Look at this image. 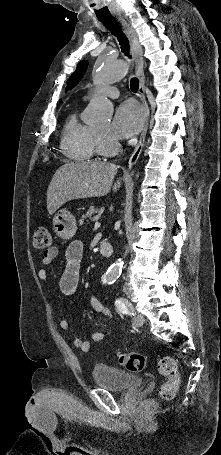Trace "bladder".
<instances>
[{"label":"bladder","mask_w":221,"mask_h":455,"mask_svg":"<svg viewBox=\"0 0 221 455\" xmlns=\"http://www.w3.org/2000/svg\"><path fill=\"white\" fill-rule=\"evenodd\" d=\"M92 376L95 385L114 391L136 390L143 383L140 376L101 364L93 367Z\"/></svg>","instance_id":"bladder-1"}]
</instances>
